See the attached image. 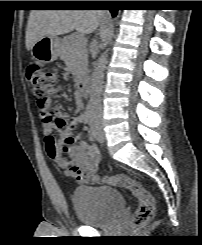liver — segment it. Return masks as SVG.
<instances>
[{"instance_id": "obj_1", "label": "liver", "mask_w": 202, "mask_h": 245, "mask_svg": "<svg viewBox=\"0 0 202 245\" xmlns=\"http://www.w3.org/2000/svg\"><path fill=\"white\" fill-rule=\"evenodd\" d=\"M104 12L96 10H32L26 30V48L45 36L67 34L74 29L90 34L100 25Z\"/></svg>"}]
</instances>
